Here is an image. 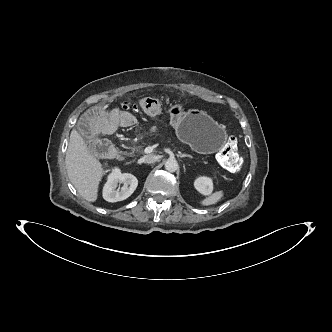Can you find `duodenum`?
<instances>
[{
  "instance_id": "1",
  "label": "duodenum",
  "mask_w": 332,
  "mask_h": 332,
  "mask_svg": "<svg viewBox=\"0 0 332 332\" xmlns=\"http://www.w3.org/2000/svg\"><path fill=\"white\" fill-rule=\"evenodd\" d=\"M120 158H121V160H124V159H125V156H121Z\"/></svg>"
}]
</instances>
